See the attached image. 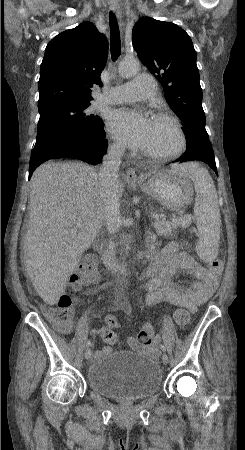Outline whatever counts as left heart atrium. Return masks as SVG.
<instances>
[{"mask_svg":"<svg viewBox=\"0 0 245 450\" xmlns=\"http://www.w3.org/2000/svg\"><path fill=\"white\" fill-rule=\"evenodd\" d=\"M152 121L141 111L119 108L111 112L109 131L132 149H142L148 142Z\"/></svg>","mask_w":245,"mask_h":450,"instance_id":"1","label":"left heart atrium"}]
</instances>
